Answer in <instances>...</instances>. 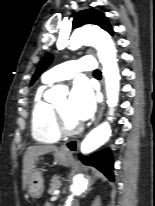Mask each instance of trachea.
Segmentation results:
<instances>
[{"mask_svg": "<svg viewBox=\"0 0 155 206\" xmlns=\"http://www.w3.org/2000/svg\"><path fill=\"white\" fill-rule=\"evenodd\" d=\"M94 75H95V76H101V72H100L99 70H95V71H94Z\"/></svg>", "mask_w": 155, "mask_h": 206, "instance_id": "3493384b", "label": "trachea"}]
</instances>
